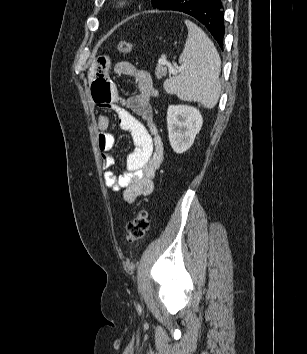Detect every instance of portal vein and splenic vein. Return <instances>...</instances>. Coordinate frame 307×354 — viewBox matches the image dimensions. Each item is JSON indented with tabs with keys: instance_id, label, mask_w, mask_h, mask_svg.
<instances>
[{
	"instance_id": "obj_1",
	"label": "portal vein and splenic vein",
	"mask_w": 307,
	"mask_h": 354,
	"mask_svg": "<svg viewBox=\"0 0 307 354\" xmlns=\"http://www.w3.org/2000/svg\"><path fill=\"white\" fill-rule=\"evenodd\" d=\"M159 64H166L168 67H169V72L172 73V74H175L177 73L176 70L173 69V67L165 60V59H159L158 61Z\"/></svg>"
}]
</instances>
